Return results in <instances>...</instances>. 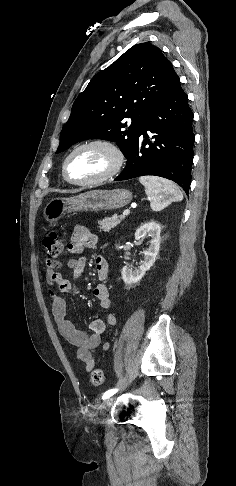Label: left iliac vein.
Masks as SVG:
<instances>
[{
	"label": "left iliac vein",
	"instance_id": "left-iliac-vein-1",
	"mask_svg": "<svg viewBox=\"0 0 236 486\" xmlns=\"http://www.w3.org/2000/svg\"><path fill=\"white\" fill-rule=\"evenodd\" d=\"M114 399L113 398H107L101 405H100V411L101 413L106 412L111 405L113 404Z\"/></svg>",
	"mask_w": 236,
	"mask_h": 486
}]
</instances>
